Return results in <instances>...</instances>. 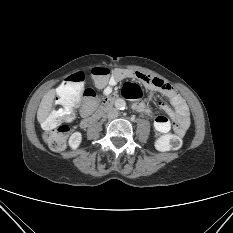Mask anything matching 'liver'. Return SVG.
<instances>
[{
  "label": "liver",
  "instance_id": "6515ba94",
  "mask_svg": "<svg viewBox=\"0 0 233 233\" xmlns=\"http://www.w3.org/2000/svg\"><path fill=\"white\" fill-rule=\"evenodd\" d=\"M55 95V89H51L43 96L37 111V120L39 123H43L45 119L48 117L52 109Z\"/></svg>",
  "mask_w": 233,
  "mask_h": 233
}]
</instances>
